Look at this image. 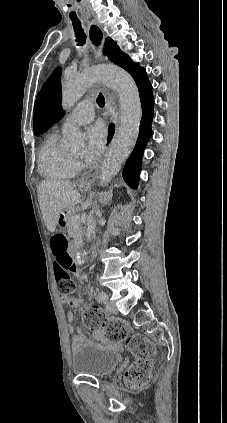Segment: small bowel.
Masks as SVG:
<instances>
[{
    "mask_svg": "<svg viewBox=\"0 0 227 423\" xmlns=\"http://www.w3.org/2000/svg\"><path fill=\"white\" fill-rule=\"evenodd\" d=\"M61 300H62L63 303L67 304L71 308H77V307H80L82 305V301L80 299H78L74 296H71V295L70 296H61ZM73 317H74L73 312L68 311L67 314H66L67 321L71 322L73 320ZM68 330H69L70 333H73V331H74L72 326H69ZM93 337L96 340H100V341L104 340V334L99 330H96V331L93 332ZM84 342H85L84 337L80 332L73 335V337H72L73 348H75V349L79 348L80 346H82L84 344Z\"/></svg>",
    "mask_w": 227,
    "mask_h": 423,
    "instance_id": "1",
    "label": "small bowel"
}]
</instances>
